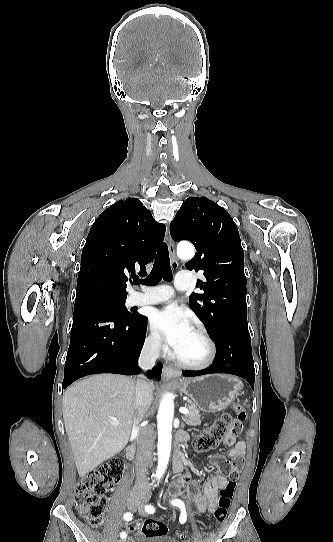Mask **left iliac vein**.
<instances>
[{"instance_id": "4c4485c4", "label": "left iliac vein", "mask_w": 333, "mask_h": 542, "mask_svg": "<svg viewBox=\"0 0 333 542\" xmlns=\"http://www.w3.org/2000/svg\"><path fill=\"white\" fill-rule=\"evenodd\" d=\"M143 502H144V503L148 502V497H145V498L143 499ZM138 512H139V514H140L141 516H146V511L144 510L143 506H140V507L138 508Z\"/></svg>"}]
</instances>
